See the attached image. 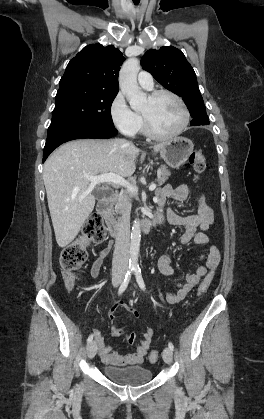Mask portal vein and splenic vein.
Returning a JSON list of instances; mask_svg holds the SVG:
<instances>
[{"mask_svg": "<svg viewBox=\"0 0 264 419\" xmlns=\"http://www.w3.org/2000/svg\"><path fill=\"white\" fill-rule=\"evenodd\" d=\"M85 177L90 181V188H93L95 185L100 184V183H112V184H118L122 187L127 188V190L131 193L138 192V189L136 186H133L126 179L112 172L95 176V177L93 176H85ZM155 188H156V185L151 184L149 187V190L153 191L155 190Z\"/></svg>", "mask_w": 264, "mask_h": 419, "instance_id": "obj_1", "label": "portal vein and splenic vein"}]
</instances>
